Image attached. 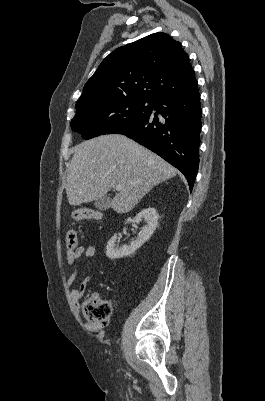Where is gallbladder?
Here are the masks:
<instances>
[{"label":"gallbladder","instance_id":"obj_1","mask_svg":"<svg viewBox=\"0 0 265 401\" xmlns=\"http://www.w3.org/2000/svg\"><path fill=\"white\" fill-rule=\"evenodd\" d=\"M110 203V196H100V198H96L94 207L99 211H107V209H110Z\"/></svg>","mask_w":265,"mask_h":401}]
</instances>
